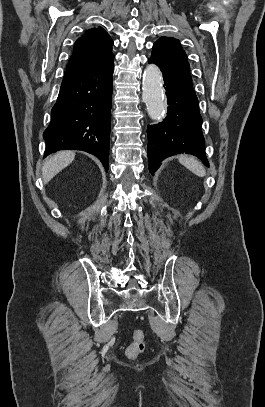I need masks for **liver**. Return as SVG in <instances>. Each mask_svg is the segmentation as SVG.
Returning a JSON list of instances; mask_svg holds the SVG:
<instances>
[{
  "instance_id": "1",
  "label": "liver",
  "mask_w": 265,
  "mask_h": 407,
  "mask_svg": "<svg viewBox=\"0 0 265 407\" xmlns=\"http://www.w3.org/2000/svg\"><path fill=\"white\" fill-rule=\"evenodd\" d=\"M75 158L73 151H59L47 158L42 168V177L44 183H48L61 170L66 168Z\"/></svg>"
}]
</instances>
